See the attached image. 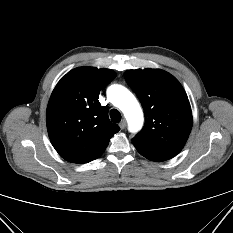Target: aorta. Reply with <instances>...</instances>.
Returning <instances> with one entry per match:
<instances>
[{"label": "aorta", "mask_w": 233, "mask_h": 233, "mask_svg": "<svg viewBox=\"0 0 233 233\" xmlns=\"http://www.w3.org/2000/svg\"><path fill=\"white\" fill-rule=\"evenodd\" d=\"M109 101L124 114L130 132H137L143 125V112L134 95L124 86L114 84L107 89Z\"/></svg>", "instance_id": "aorta-1"}]
</instances>
